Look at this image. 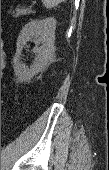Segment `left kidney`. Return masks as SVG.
Listing matches in <instances>:
<instances>
[{
	"instance_id": "obj_1",
	"label": "left kidney",
	"mask_w": 109,
	"mask_h": 170,
	"mask_svg": "<svg viewBox=\"0 0 109 170\" xmlns=\"http://www.w3.org/2000/svg\"><path fill=\"white\" fill-rule=\"evenodd\" d=\"M56 20L45 18L31 20L22 29L17 39V50L13 57V66L16 74L27 76L41 71L51 59L55 49ZM33 40L40 47H35V58L27 66L22 62V49L27 41Z\"/></svg>"
}]
</instances>
